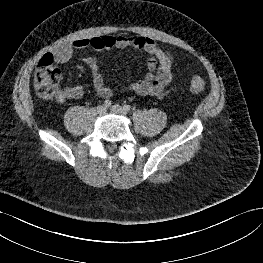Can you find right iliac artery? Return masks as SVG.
I'll return each mask as SVG.
<instances>
[{"mask_svg":"<svg viewBox=\"0 0 263 263\" xmlns=\"http://www.w3.org/2000/svg\"><path fill=\"white\" fill-rule=\"evenodd\" d=\"M111 105V101L110 100H105L104 101V106L105 107H109Z\"/></svg>","mask_w":263,"mask_h":263,"instance_id":"1","label":"right iliac artery"}]
</instances>
